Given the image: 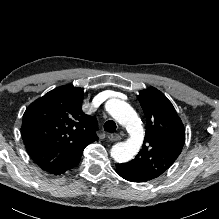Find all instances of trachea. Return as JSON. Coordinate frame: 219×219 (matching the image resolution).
I'll use <instances>...</instances> for the list:
<instances>
[{
    "instance_id": "1",
    "label": "trachea",
    "mask_w": 219,
    "mask_h": 219,
    "mask_svg": "<svg viewBox=\"0 0 219 219\" xmlns=\"http://www.w3.org/2000/svg\"><path fill=\"white\" fill-rule=\"evenodd\" d=\"M104 130L110 133H114L116 131V123L113 120H108L104 124Z\"/></svg>"
}]
</instances>
